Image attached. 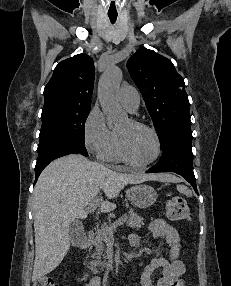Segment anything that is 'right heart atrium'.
I'll use <instances>...</instances> for the list:
<instances>
[{"label": "right heart atrium", "mask_w": 231, "mask_h": 286, "mask_svg": "<svg viewBox=\"0 0 231 286\" xmlns=\"http://www.w3.org/2000/svg\"><path fill=\"white\" fill-rule=\"evenodd\" d=\"M114 140L113 132L107 127L105 117L98 108H93L83 124V142L86 149L99 155Z\"/></svg>", "instance_id": "1"}]
</instances>
